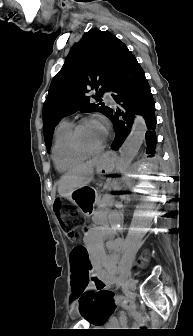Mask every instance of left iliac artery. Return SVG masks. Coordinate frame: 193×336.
Segmentation results:
<instances>
[{"label": "left iliac artery", "instance_id": "obj_1", "mask_svg": "<svg viewBox=\"0 0 193 336\" xmlns=\"http://www.w3.org/2000/svg\"><path fill=\"white\" fill-rule=\"evenodd\" d=\"M124 280H125L124 277L122 275H120L119 278H118L117 285L120 286L121 284H123Z\"/></svg>", "mask_w": 193, "mask_h": 336}]
</instances>
